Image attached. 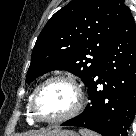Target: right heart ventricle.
<instances>
[{"instance_id": "1", "label": "right heart ventricle", "mask_w": 136, "mask_h": 136, "mask_svg": "<svg viewBox=\"0 0 136 136\" xmlns=\"http://www.w3.org/2000/svg\"><path fill=\"white\" fill-rule=\"evenodd\" d=\"M30 98H31V96H29V98H28V102H27V105H26V112H27V120H28V122L33 123L35 120L32 118L31 113L29 111Z\"/></svg>"}]
</instances>
